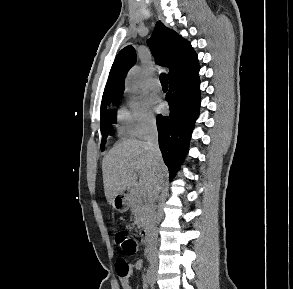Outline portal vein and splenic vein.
Here are the masks:
<instances>
[{
	"instance_id": "1",
	"label": "portal vein and splenic vein",
	"mask_w": 293,
	"mask_h": 289,
	"mask_svg": "<svg viewBox=\"0 0 293 289\" xmlns=\"http://www.w3.org/2000/svg\"><path fill=\"white\" fill-rule=\"evenodd\" d=\"M134 192H136L138 194H142L143 193V190H142V188L140 186L136 185Z\"/></svg>"
}]
</instances>
